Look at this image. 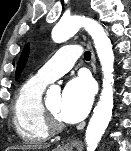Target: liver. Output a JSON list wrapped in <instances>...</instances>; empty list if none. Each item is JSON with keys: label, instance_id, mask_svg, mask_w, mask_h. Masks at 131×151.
<instances>
[{"label": "liver", "instance_id": "liver-1", "mask_svg": "<svg viewBox=\"0 0 131 151\" xmlns=\"http://www.w3.org/2000/svg\"><path fill=\"white\" fill-rule=\"evenodd\" d=\"M48 145H25L20 147H13L12 149H19L22 151H30V150H37L42 148H47Z\"/></svg>", "mask_w": 131, "mask_h": 151}]
</instances>
